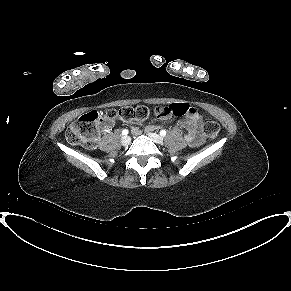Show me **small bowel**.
<instances>
[{
    "instance_id": "c3829d8e",
    "label": "small bowel",
    "mask_w": 291,
    "mask_h": 291,
    "mask_svg": "<svg viewBox=\"0 0 291 291\" xmlns=\"http://www.w3.org/2000/svg\"><path fill=\"white\" fill-rule=\"evenodd\" d=\"M191 107V106H190ZM179 126L185 128L184 139L190 147H198L202 144L204 136L201 132V116L196 109L191 107V111L185 114V117L179 121ZM154 126L147 127V130H154ZM135 135H140L141 131L137 127H132Z\"/></svg>"
}]
</instances>
